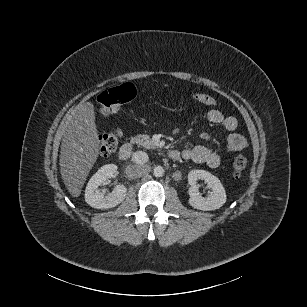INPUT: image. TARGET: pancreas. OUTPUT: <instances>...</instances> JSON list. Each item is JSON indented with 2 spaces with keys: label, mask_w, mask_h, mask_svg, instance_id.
<instances>
[{
  "label": "pancreas",
  "mask_w": 307,
  "mask_h": 307,
  "mask_svg": "<svg viewBox=\"0 0 307 307\" xmlns=\"http://www.w3.org/2000/svg\"><path fill=\"white\" fill-rule=\"evenodd\" d=\"M134 142L145 148H156L154 142L146 134H139L134 138Z\"/></svg>",
  "instance_id": "pancreas-1"
}]
</instances>
